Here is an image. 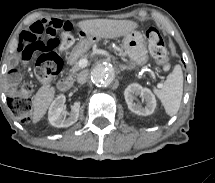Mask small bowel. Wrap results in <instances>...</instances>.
<instances>
[{
  "label": "small bowel",
  "mask_w": 215,
  "mask_h": 183,
  "mask_svg": "<svg viewBox=\"0 0 215 183\" xmlns=\"http://www.w3.org/2000/svg\"><path fill=\"white\" fill-rule=\"evenodd\" d=\"M36 22V21H35ZM34 23V22H33ZM32 25V24H31ZM31 25L29 26L28 30H30V27ZM70 29H71V25H70ZM19 81V76L17 74L14 75V79H13V84H16L17 82Z\"/></svg>",
  "instance_id": "1"
}]
</instances>
